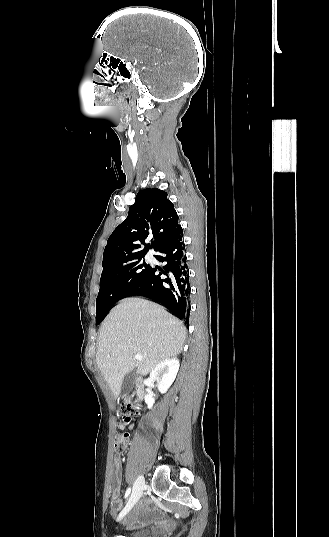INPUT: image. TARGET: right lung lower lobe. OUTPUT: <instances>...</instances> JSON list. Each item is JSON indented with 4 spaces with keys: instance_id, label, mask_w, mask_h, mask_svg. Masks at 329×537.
Instances as JSON below:
<instances>
[{
    "instance_id": "98d812e1",
    "label": "right lung lower lobe",
    "mask_w": 329,
    "mask_h": 537,
    "mask_svg": "<svg viewBox=\"0 0 329 537\" xmlns=\"http://www.w3.org/2000/svg\"><path fill=\"white\" fill-rule=\"evenodd\" d=\"M182 236L183 230L156 250L160 255H155V258L166 262V265L163 268L150 266L126 297L137 295L151 298L166 306L179 319L187 320L190 283Z\"/></svg>"
}]
</instances>
